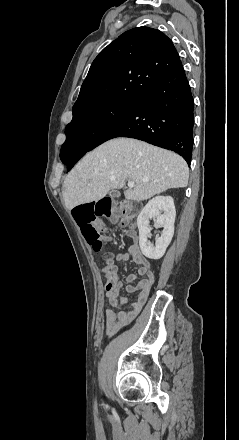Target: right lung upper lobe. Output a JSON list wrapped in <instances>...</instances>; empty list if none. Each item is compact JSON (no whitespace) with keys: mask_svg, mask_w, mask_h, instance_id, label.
Segmentation results:
<instances>
[{"mask_svg":"<svg viewBox=\"0 0 239 440\" xmlns=\"http://www.w3.org/2000/svg\"><path fill=\"white\" fill-rule=\"evenodd\" d=\"M178 62L177 50L161 31L148 27L126 31L93 61L73 114L118 96L138 98Z\"/></svg>","mask_w":239,"mask_h":440,"instance_id":"right-lung-upper-lobe-1","label":"right lung upper lobe"}]
</instances>
